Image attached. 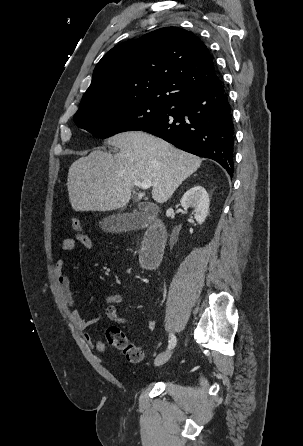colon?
Returning a JSON list of instances; mask_svg holds the SVG:
<instances>
[{
	"label": "colon",
	"mask_w": 303,
	"mask_h": 446,
	"mask_svg": "<svg viewBox=\"0 0 303 446\" xmlns=\"http://www.w3.org/2000/svg\"><path fill=\"white\" fill-rule=\"evenodd\" d=\"M70 225L76 234L87 235L84 232L81 222L77 218L72 217L70 219ZM105 335L109 346L120 350L128 362L139 363L143 359L142 349L138 345L131 343L124 331L118 326H109L106 329Z\"/></svg>",
	"instance_id": "1"
}]
</instances>
